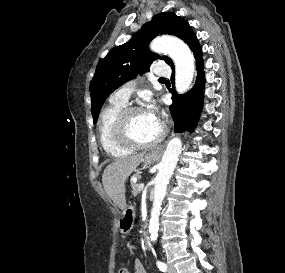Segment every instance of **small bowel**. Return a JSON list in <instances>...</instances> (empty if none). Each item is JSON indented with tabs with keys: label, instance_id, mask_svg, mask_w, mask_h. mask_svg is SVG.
<instances>
[{
	"label": "small bowel",
	"instance_id": "obj_1",
	"mask_svg": "<svg viewBox=\"0 0 285 273\" xmlns=\"http://www.w3.org/2000/svg\"><path fill=\"white\" fill-rule=\"evenodd\" d=\"M124 273H146L143 264L140 260H135L132 264V269L129 271L128 269H124Z\"/></svg>",
	"mask_w": 285,
	"mask_h": 273
}]
</instances>
